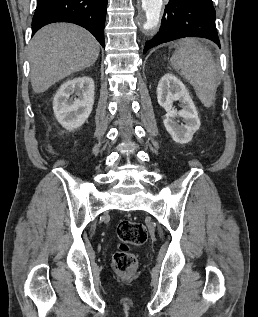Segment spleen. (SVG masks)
I'll return each mask as SVG.
<instances>
[{
	"instance_id": "1",
	"label": "spleen",
	"mask_w": 258,
	"mask_h": 317,
	"mask_svg": "<svg viewBox=\"0 0 258 317\" xmlns=\"http://www.w3.org/2000/svg\"><path fill=\"white\" fill-rule=\"evenodd\" d=\"M175 46L177 50L171 56L173 68L180 70V74L194 86L204 106H212L219 78L209 48L195 38H183Z\"/></svg>"
}]
</instances>
